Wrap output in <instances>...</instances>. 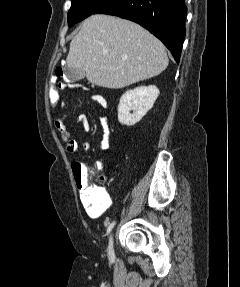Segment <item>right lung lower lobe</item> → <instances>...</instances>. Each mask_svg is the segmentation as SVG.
<instances>
[{
	"mask_svg": "<svg viewBox=\"0 0 240 287\" xmlns=\"http://www.w3.org/2000/svg\"><path fill=\"white\" fill-rule=\"evenodd\" d=\"M184 0H107L94 14H108L136 22L154 34L179 63L185 38Z\"/></svg>",
	"mask_w": 240,
	"mask_h": 287,
	"instance_id": "right-lung-lower-lobe-1",
	"label": "right lung lower lobe"
}]
</instances>
